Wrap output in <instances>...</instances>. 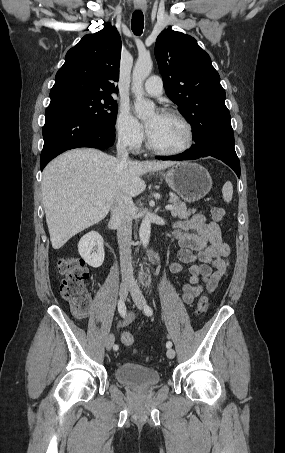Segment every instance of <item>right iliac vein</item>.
Wrapping results in <instances>:
<instances>
[{
    "instance_id": "1",
    "label": "right iliac vein",
    "mask_w": 285,
    "mask_h": 453,
    "mask_svg": "<svg viewBox=\"0 0 285 453\" xmlns=\"http://www.w3.org/2000/svg\"><path fill=\"white\" fill-rule=\"evenodd\" d=\"M131 288H132V285L129 282H122L120 285V291H119L120 298L125 299L129 293V291L131 290ZM114 340H115V337L113 334H110L106 338L105 347L108 351H110L112 349Z\"/></svg>"
}]
</instances>
